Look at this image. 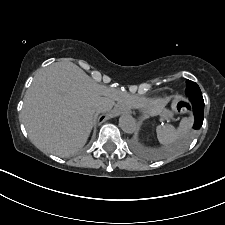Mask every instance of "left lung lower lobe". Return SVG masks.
Returning a JSON list of instances; mask_svg holds the SVG:
<instances>
[{
  "label": "left lung lower lobe",
  "instance_id": "left-lung-lower-lobe-1",
  "mask_svg": "<svg viewBox=\"0 0 225 225\" xmlns=\"http://www.w3.org/2000/svg\"><path fill=\"white\" fill-rule=\"evenodd\" d=\"M191 103V107L194 113V129H199L203 124V115H204V100L201 98H192L189 99ZM188 108L190 106L188 105Z\"/></svg>",
  "mask_w": 225,
  "mask_h": 225
}]
</instances>
